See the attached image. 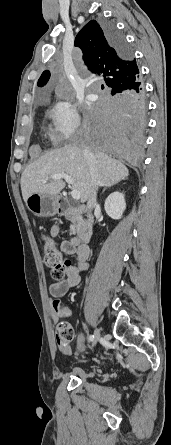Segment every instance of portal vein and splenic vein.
<instances>
[{
	"label": "portal vein and splenic vein",
	"mask_w": 171,
	"mask_h": 445,
	"mask_svg": "<svg viewBox=\"0 0 171 445\" xmlns=\"http://www.w3.org/2000/svg\"><path fill=\"white\" fill-rule=\"evenodd\" d=\"M51 178L53 180H59V179H64L66 181L67 184L71 185L73 184V179L71 176H69L68 174L65 173H61V174H54L51 176ZM43 182H47V180H44ZM71 196L74 200H79L80 199V192L77 189H73L71 191Z\"/></svg>",
	"instance_id": "obj_1"
}]
</instances>
